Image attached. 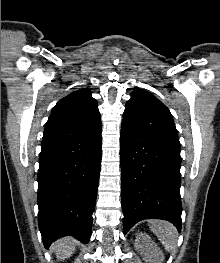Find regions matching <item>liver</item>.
Here are the masks:
<instances>
[{
    "instance_id": "1",
    "label": "liver",
    "mask_w": 220,
    "mask_h": 263,
    "mask_svg": "<svg viewBox=\"0 0 220 263\" xmlns=\"http://www.w3.org/2000/svg\"><path fill=\"white\" fill-rule=\"evenodd\" d=\"M76 241L71 237H63L56 241L52 248L55 250L56 257L58 260H64L69 258L75 251Z\"/></svg>"
}]
</instances>
